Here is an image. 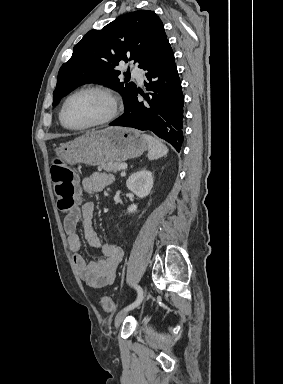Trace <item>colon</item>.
I'll list each match as a JSON object with an SVG mask.
<instances>
[{"label":"colon","mask_w":283,"mask_h":384,"mask_svg":"<svg viewBox=\"0 0 283 384\" xmlns=\"http://www.w3.org/2000/svg\"><path fill=\"white\" fill-rule=\"evenodd\" d=\"M51 175L57 196L58 208L61 212L69 213L73 210L78 200L77 185L75 176L71 169L61 161L55 160L51 166ZM101 307L106 312L114 310V303L111 298L103 297Z\"/></svg>","instance_id":"5ec220e1"}]
</instances>
